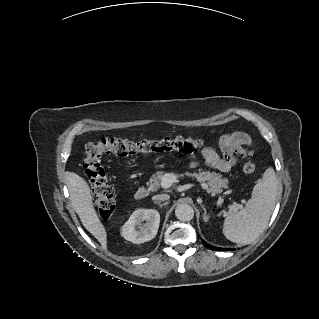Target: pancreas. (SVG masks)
Listing matches in <instances>:
<instances>
[{"instance_id":"pancreas-1","label":"pancreas","mask_w":319,"mask_h":319,"mask_svg":"<svg viewBox=\"0 0 319 319\" xmlns=\"http://www.w3.org/2000/svg\"><path fill=\"white\" fill-rule=\"evenodd\" d=\"M187 175L193 179H196L199 182H207L209 185L208 191L212 195H216L221 192V188L228 187V179L224 178L221 174H217L216 172L210 171H202L198 173H187ZM163 177V172L158 171L153 174L150 178V186L149 189L154 191L158 189L161 185V178Z\"/></svg>"}]
</instances>
